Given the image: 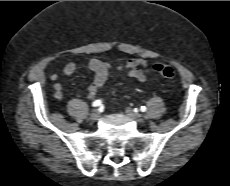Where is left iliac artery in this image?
I'll use <instances>...</instances> for the list:
<instances>
[{
  "label": "left iliac artery",
  "mask_w": 230,
  "mask_h": 186,
  "mask_svg": "<svg viewBox=\"0 0 230 186\" xmlns=\"http://www.w3.org/2000/svg\"><path fill=\"white\" fill-rule=\"evenodd\" d=\"M140 110H141L142 112H145L147 109H146L145 106H141Z\"/></svg>",
  "instance_id": "1"
}]
</instances>
